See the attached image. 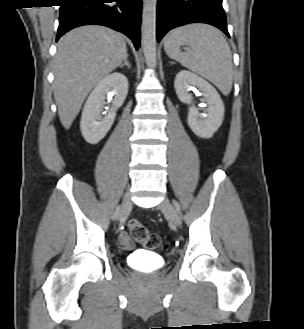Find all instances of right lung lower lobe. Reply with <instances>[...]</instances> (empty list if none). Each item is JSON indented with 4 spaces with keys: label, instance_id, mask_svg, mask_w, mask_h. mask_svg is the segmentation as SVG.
<instances>
[{
    "label": "right lung lower lobe",
    "instance_id": "1",
    "mask_svg": "<svg viewBox=\"0 0 304 329\" xmlns=\"http://www.w3.org/2000/svg\"><path fill=\"white\" fill-rule=\"evenodd\" d=\"M142 0H62L57 40L69 30L88 24L110 27L140 42Z\"/></svg>",
    "mask_w": 304,
    "mask_h": 329
}]
</instances>
